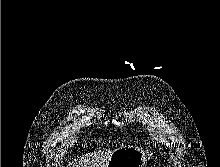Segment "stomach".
Masks as SVG:
<instances>
[{
	"label": "stomach",
	"instance_id": "0dacf381",
	"mask_svg": "<svg viewBox=\"0 0 220 167\" xmlns=\"http://www.w3.org/2000/svg\"><path fill=\"white\" fill-rule=\"evenodd\" d=\"M149 160L141 148L123 146L112 153L106 167H146Z\"/></svg>",
	"mask_w": 220,
	"mask_h": 167
}]
</instances>
